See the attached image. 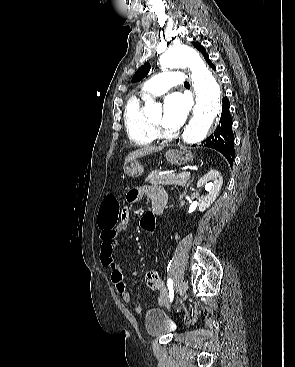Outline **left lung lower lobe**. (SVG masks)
Returning a JSON list of instances; mask_svg holds the SVG:
<instances>
[{"label": "left lung lower lobe", "mask_w": 295, "mask_h": 367, "mask_svg": "<svg viewBox=\"0 0 295 367\" xmlns=\"http://www.w3.org/2000/svg\"><path fill=\"white\" fill-rule=\"evenodd\" d=\"M207 62L213 69H216L211 61ZM229 107V100L227 97H225L222 104L220 124L216 130L205 139L203 143L204 146L216 149L222 153L230 165H232L235 157V150L233 145L234 137L232 132V119L230 116Z\"/></svg>", "instance_id": "obj_1"}]
</instances>
